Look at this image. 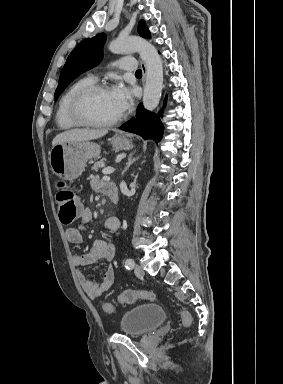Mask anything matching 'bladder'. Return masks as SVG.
<instances>
[{"mask_svg": "<svg viewBox=\"0 0 283 384\" xmlns=\"http://www.w3.org/2000/svg\"><path fill=\"white\" fill-rule=\"evenodd\" d=\"M166 321V312L157 302L139 303L123 311L119 321L121 333L126 336H143Z\"/></svg>", "mask_w": 283, "mask_h": 384, "instance_id": "bladder-1", "label": "bladder"}]
</instances>
